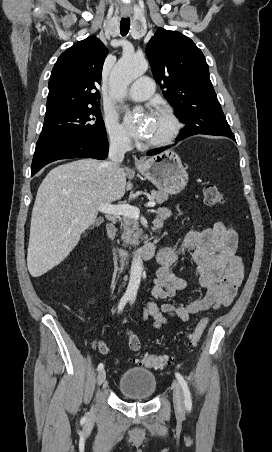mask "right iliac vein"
Returning <instances> with one entry per match:
<instances>
[{"instance_id":"right-iliac-vein-1","label":"right iliac vein","mask_w":272,"mask_h":452,"mask_svg":"<svg viewBox=\"0 0 272 452\" xmlns=\"http://www.w3.org/2000/svg\"><path fill=\"white\" fill-rule=\"evenodd\" d=\"M106 378V371L105 370H101L98 375H97V385H101Z\"/></svg>"}]
</instances>
